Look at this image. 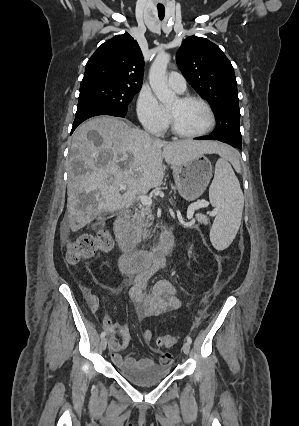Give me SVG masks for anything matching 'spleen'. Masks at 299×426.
Wrapping results in <instances>:
<instances>
[{"label":"spleen","mask_w":299,"mask_h":426,"mask_svg":"<svg viewBox=\"0 0 299 426\" xmlns=\"http://www.w3.org/2000/svg\"><path fill=\"white\" fill-rule=\"evenodd\" d=\"M209 199L217 209L210 230V240L217 250L226 249L239 230L244 197L239 181L225 158L218 159L214 179L209 188Z\"/></svg>","instance_id":"1"}]
</instances>
